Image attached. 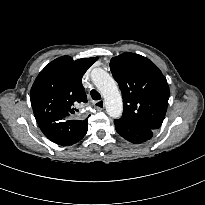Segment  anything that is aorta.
Masks as SVG:
<instances>
[{
    "mask_svg": "<svg viewBox=\"0 0 205 205\" xmlns=\"http://www.w3.org/2000/svg\"><path fill=\"white\" fill-rule=\"evenodd\" d=\"M91 78L96 88L104 97L108 115L112 118L120 117L123 111V102L115 80L101 68L93 69Z\"/></svg>",
    "mask_w": 205,
    "mask_h": 205,
    "instance_id": "762f6f07",
    "label": "aorta"
}]
</instances>
